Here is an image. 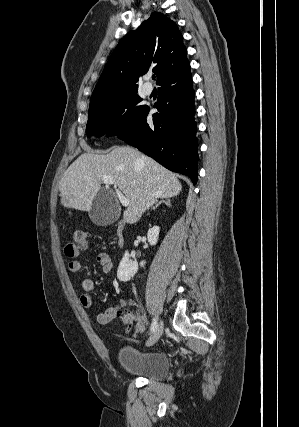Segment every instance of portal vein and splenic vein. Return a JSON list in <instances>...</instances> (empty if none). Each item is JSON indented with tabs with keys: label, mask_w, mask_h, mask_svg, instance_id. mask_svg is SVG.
Here are the masks:
<instances>
[{
	"label": "portal vein and splenic vein",
	"mask_w": 299,
	"mask_h": 427,
	"mask_svg": "<svg viewBox=\"0 0 299 427\" xmlns=\"http://www.w3.org/2000/svg\"><path fill=\"white\" fill-rule=\"evenodd\" d=\"M103 182L106 185H113L114 184V181H113V179L111 177H105V178H103ZM114 190H115V193H116V195H117L120 203L123 206L127 207L129 205V201L126 199V197L122 194V192L115 185H114Z\"/></svg>",
	"instance_id": "obj_1"
}]
</instances>
